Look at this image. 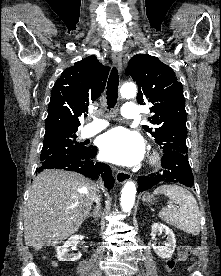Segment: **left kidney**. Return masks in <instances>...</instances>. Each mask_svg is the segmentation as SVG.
Returning a JSON list of instances; mask_svg holds the SVG:
<instances>
[{
    "label": "left kidney",
    "mask_w": 221,
    "mask_h": 276,
    "mask_svg": "<svg viewBox=\"0 0 221 276\" xmlns=\"http://www.w3.org/2000/svg\"><path fill=\"white\" fill-rule=\"evenodd\" d=\"M162 232L165 233V236L167 237V243L165 246H153V250L159 257L163 259L171 258L176 247V239L173 231L164 224H152L150 234L152 239H155L157 233Z\"/></svg>",
    "instance_id": "1"
}]
</instances>
